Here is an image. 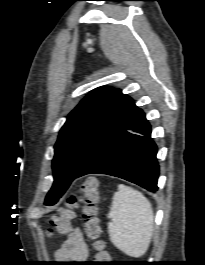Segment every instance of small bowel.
<instances>
[{
    "instance_id": "obj_1",
    "label": "small bowel",
    "mask_w": 205,
    "mask_h": 265,
    "mask_svg": "<svg viewBox=\"0 0 205 265\" xmlns=\"http://www.w3.org/2000/svg\"><path fill=\"white\" fill-rule=\"evenodd\" d=\"M89 258V248L83 232L75 228L67 236V239L55 252V259L60 262L75 261L85 263Z\"/></svg>"
}]
</instances>
